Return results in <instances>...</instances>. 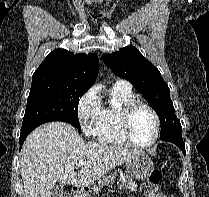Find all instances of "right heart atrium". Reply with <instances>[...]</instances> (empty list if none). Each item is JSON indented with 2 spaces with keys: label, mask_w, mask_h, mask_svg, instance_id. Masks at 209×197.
<instances>
[{
  "label": "right heart atrium",
  "mask_w": 209,
  "mask_h": 197,
  "mask_svg": "<svg viewBox=\"0 0 209 197\" xmlns=\"http://www.w3.org/2000/svg\"><path fill=\"white\" fill-rule=\"evenodd\" d=\"M102 105L95 88H90L79 99L77 114L83 131L89 135L96 134V127L100 120Z\"/></svg>",
  "instance_id": "obj_1"
}]
</instances>
